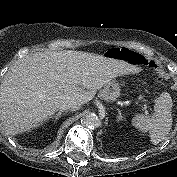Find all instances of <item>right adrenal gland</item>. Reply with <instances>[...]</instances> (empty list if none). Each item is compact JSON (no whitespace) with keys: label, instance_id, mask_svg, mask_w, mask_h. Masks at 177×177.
I'll use <instances>...</instances> for the list:
<instances>
[{"label":"right adrenal gland","instance_id":"right-adrenal-gland-1","mask_svg":"<svg viewBox=\"0 0 177 177\" xmlns=\"http://www.w3.org/2000/svg\"><path fill=\"white\" fill-rule=\"evenodd\" d=\"M62 112H63V111H59L56 115L50 116V117L47 118V119H55V120H58V119L61 117ZM47 119H46V120H47ZM46 120H45V121H46Z\"/></svg>","mask_w":177,"mask_h":177}]
</instances>
